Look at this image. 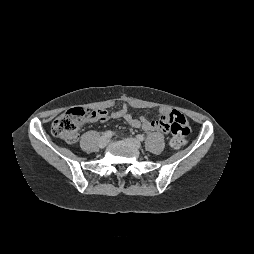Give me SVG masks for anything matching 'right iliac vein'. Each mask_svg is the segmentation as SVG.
I'll use <instances>...</instances> for the list:
<instances>
[{"label":"right iliac vein","instance_id":"63e3f726","mask_svg":"<svg viewBox=\"0 0 254 254\" xmlns=\"http://www.w3.org/2000/svg\"><path fill=\"white\" fill-rule=\"evenodd\" d=\"M109 143V139L105 136H103L101 139H100V142H99V146L101 148H104L105 146H107V144Z\"/></svg>","mask_w":254,"mask_h":254}]
</instances>
